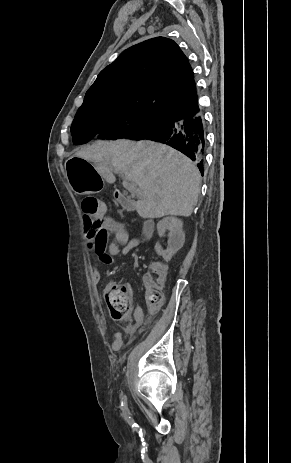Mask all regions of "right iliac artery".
<instances>
[{
	"label": "right iliac artery",
	"instance_id": "obj_1",
	"mask_svg": "<svg viewBox=\"0 0 291 463\" xmlns=\"http://www.w3.org/2000/svg\"><path fill=\"white\" fill-rule=\"evenodd\" d=\"M121 410H122V413H123L124 417L126 418L127 422L130 425H132V427H133L134 423H133V420L131 419V417L129 416V411H128L126 399L124 401H122V403H121Z\"/></svg>",
	"mask_w": 291,
	"mask_h": 463
}]
</instances>
